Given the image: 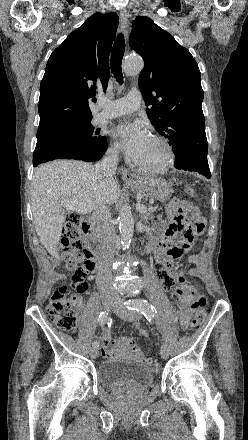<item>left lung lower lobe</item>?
Returning <instances> with one entry per match:
<instances>
[{"instance_id": "0a47b994", "label": "left lung lower lobe", "mask_w": 248, "mask_h": 440, "mask_svg": "<svg viewBox=\"0 0 248 440\" xmlns=\"http://www.w3.org/2000/svg\"><path fill=\"white\" fill-rule=\"evenodd\" d=\"M174 166L176 169L195 171L207 178H211L207 154L204 152H186L176 156Z\"/></svg>"}]
</instances>
